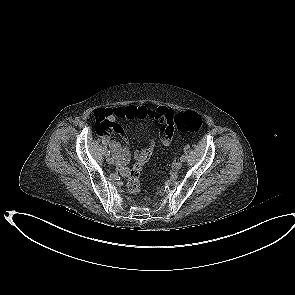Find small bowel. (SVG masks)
<instances>
[{"instance_id": "small-bowel-1", "label": "small bowel", "mask_w": 295, "mask_h": 295, "mask_svg": "<svg viewBox=\"0 0 295 295\" xmlns=\"http://www.w3.org/2000/svg\"><path fill=\"white\" fill-rule=\"evenodd\" d=\"M169 112L171 111L165 107H159L154 110L146 106L137 105L117 107L114 109H97L94 112L97 133L105 138L111 148L121 174L125 175L128 173L127 164L130 160V153L127 147L122 146L106 133H114L115 135H122L124 133V128L120 124L114 122L115 118L150 120L153 126L160 130L162 144L168 146L171 143L173 132L162 130L161 125Z\"/></svg>"}]
</instances>
